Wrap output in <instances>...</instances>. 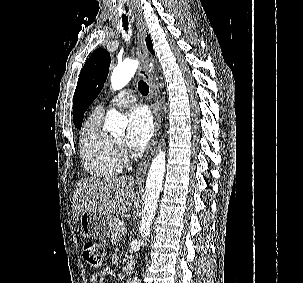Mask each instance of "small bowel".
Returning a JSON list of instances; mask_svg holds the SVG:
<instances>
[{
	"mask_svg": "<svg viewBox=\"0 0 303 283\" xmlns=\"http://www.w3.org/2000/svg\"><path fill=\"white\" fill-rule=\"evenodd\" d=\"M119 257L118 254H114L111 258L113 263H116L118 261ZM99 282V278L97 274H91L90 276V283H98Z\"/></svg>",
	"mask_w": 303,
	"mask_h": 283,
	"instance_id": "obj_1",
	"label": "small bowel"
}]
</instances>
